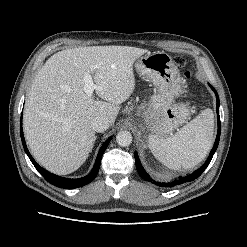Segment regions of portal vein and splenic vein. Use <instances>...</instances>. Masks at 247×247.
<instances>
[{
    "mask_svg": "<svg viewBox=\"0 0 247 247\" xmlns=\"http://www.w3.org/2000/svg\"><path fill=\"white\" fill-rule=\"evenodd\" d=\"M84 91L87 95L91 96L93 94V91L96 89H102V87L97 86L94 84L92 76L90 73H86L84 75Z\"/></svg>",
    "mask_w": 247,
    "mask_h": 247,
    "instance_id": "1",
    "label": "portal vein and splenic vein"
}]
</instances>
